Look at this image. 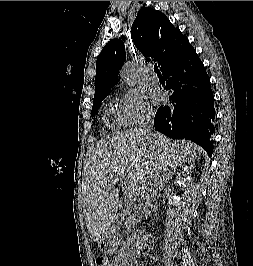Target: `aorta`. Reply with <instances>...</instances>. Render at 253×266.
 I'll use <instances>...</instances> for the list:
<instances>
[{"label": "aorta", "mask_w": 253, "mask_h": 266, "mask_svg": "<svg viewBox=\"0 0 253 266\" xmlns=\"http://www.w3.org/2000/svg\"><path fill=\"white\" fill-rule=\"evenodd\" d=\"M121 77L129 86L136 85L134 67L132 63H126L121 70Z\"/></svg>", "instance_id": "762f6f07"}]
</instances>
